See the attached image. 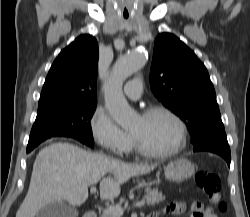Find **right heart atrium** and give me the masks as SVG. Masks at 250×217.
Returning a JSON list of instances; mask_svg holds the SVG:
<instances>
[{"mask_svg": "<svg viewBox=\"0 0 250 217\" xmlns=\"http://www.w3.org/2000/svg\"><path fill=\"white\" fill-rule=\"evenodd\" d=\"M89 129L93 139L111 154L122 155L132 146V137L124 131L101 106H97L90 119Z\"/></svg>", "mask_w": 250, "mask_h": 217, "instance_id": "d8ad5b80", "label": "right heart atrium"}]
</instances>
